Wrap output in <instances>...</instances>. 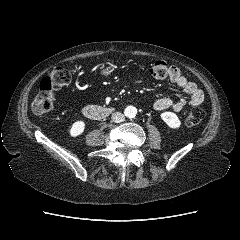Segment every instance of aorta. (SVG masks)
I'll list each match as a JSON object with an SVG mask.
<instances>
[{
	"instance_id": "1",
	"label": "aorta",
	"mask_w": 240,
	"mask_h": 240,
	"mask_svg": "<svg viewBox=\"0 0 240 240\" xmlns=\"http://www.w3.org/2000/svg\"><path fill=\"white\" fill-rule=\"evenodd\" d=\"M124 113L127 117L133 118L137 114V108L134 106H128V107H126Z\"/></svg>"
}]
</instances>
